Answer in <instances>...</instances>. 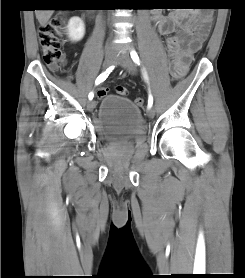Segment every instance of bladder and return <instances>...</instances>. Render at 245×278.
<instances>
[{
    "mask_svg": "<svg viewBox=\"0 0 245 278\" xmlns=\"http://www.w3.org/2000/svg\"><path fill=\"white\" fill-rule=\"evenodd\" d=\"M95 128L106 143L140 141L145 135L141 110L130 99L108 94L100 102Z\"/></svg>",
    "mask_w": 245,
    "mask_h": 278,
    "instance_id": "obj_1",
    "label": "bladder"
}]
</instances>
